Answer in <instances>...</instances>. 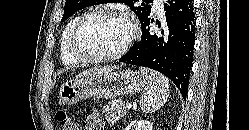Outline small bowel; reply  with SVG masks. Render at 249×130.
Here are the masks:
<instances>
[{
	"label": "small bowel",
	"mask_w": 249,
	"mask_h": 130,
	"mask_svg": "<svg viewBox=\"0 0 249 130\" xmlns=\"http://www.w3.org/2000/svg\"><path fill=\"white\" fill-rule=\"evenodd\" d=\"M104 121L102 120L98 111H92L85 120L86 130H103Z\"/></svg>",
	"instance_id": "c3829d8e"
}]
</instances>
